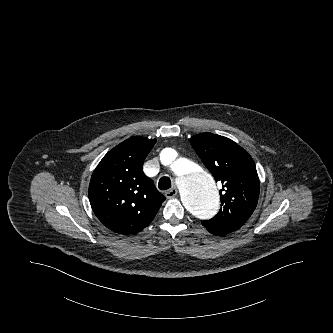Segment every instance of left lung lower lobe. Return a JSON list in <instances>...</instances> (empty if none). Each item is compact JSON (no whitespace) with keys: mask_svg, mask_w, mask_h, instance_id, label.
Returning a JSON list of instances; mask_svg holds the SVG:
<instances>
[{"mask_svg":"<svg viewBox=\"0 0 333 333\" xmlns=\"http://www.w3.org/2000/svg\"><path fill=\"white\" fill-rule=\"evenodd\" d=\"M202 222H203V221H202ZM205 227H206V229H207L210 233L215 234V235H224V234H228V233H230L229 231L221 230V229H216V228H214L213 226H211V225H207V224H205Z\"/></svg>","mask_w":333,"mask_h":333,"instance_id":"obj_1","label":"left lung lower lobe"}]
</instances>
